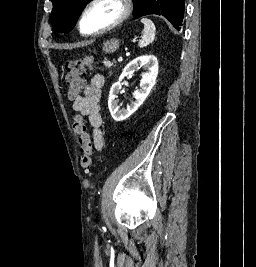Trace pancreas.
Masks as SVG:
<instances>
[{"label": "pancreas", "instance_id": "obj_1", "mask_svg": "<svg viewBox=\"0 0 256 267\" xmlns=\"http://www.w3.org/2000/svg\"><path fill=\"white\" fill-rule=\"evenodd\" d=\"M103 64L106 68H111V66H113V62H108V60H104Z\"/></svg>", "mask_w": 256, "mask_h": 267}]
</instances>
